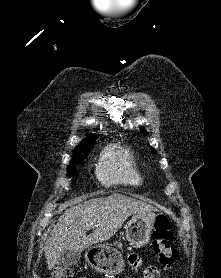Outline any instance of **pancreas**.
<instances>
[{
	"label": "pancreas",
	"mask_w": 221,
	"mask_h": 278,
	"mask_svg": "<svg viewBox=\"0 0 221 278\" xmlns=\"http://www.w3.org/2000/svg\"><path fill=\"white\" fill-rule=\"evenodd\" d=\"M117 247L121 248L122 247V243H116Z\"/></svg>",
	"instance_id": "pancreas-1"
}]
</instances>
